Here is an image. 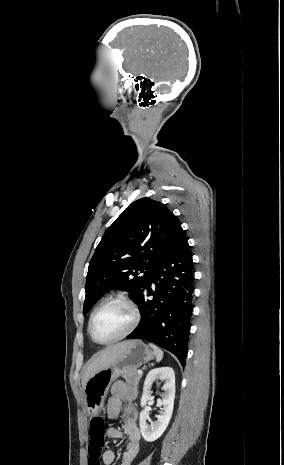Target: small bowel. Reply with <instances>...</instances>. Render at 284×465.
I'll list each match as a JSON object with an SVG mask.
<instances>
[{
  "label": "small bowel",
  "mask_w": 284,
  "mask_h": 465,
  "mask_svg": "<svg viewBox=\"0 0 284 465\" xmlns=\"http://www.w3.org/2000/svg\"><path fill=\"white\" fill-rule=\"evenodd\" d=\"M136 397L135 388L128 386L123 381H116L111 387L107 402L109 419L114 420L121 416L123 421V430L110 427L107 430V435L112 439H121L124 435L128 437V442L122 453L121 465H132L140 451L141 434L137 426L138 411L133 404ZM115 458L116 454L112 449L106 450L103 454L105 465H113Z\"/></svg>",
  "instance_id": "small-bowel-1"
}]
</instances>
